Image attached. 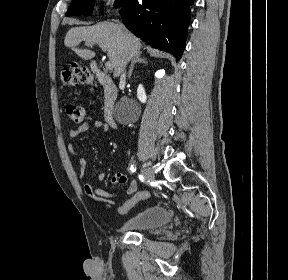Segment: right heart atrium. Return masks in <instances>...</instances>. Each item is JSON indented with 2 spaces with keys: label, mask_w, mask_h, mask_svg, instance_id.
<instances>
[{
  "label": "right heart atrium",
  "mask_w": 288,
  "mask_h": 280,
  "mask_svg": "<svg viewBox=\"0 0 288 280\" xmlns=\"http://www.w3.org/2000/svg\"><path fill=\"white\" fill-rule=\"evenodd\" d=\"M115 0H101V5L104 9L109 8Z\"/></svg>",
  "instance_id": "right-heart-atrium-1"
}]
</instances>
